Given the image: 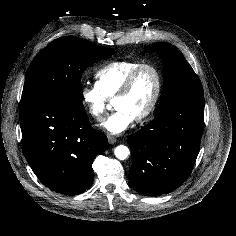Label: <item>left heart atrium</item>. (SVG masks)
I'll list each match as a JSON object with an SVG mask.
<instances>
[{"label":"left heart atrium","instance_id":"obj_1","mask_svg":"<svg viewBox=\"0 0 236 236\" xmlns=\"http://www.w3.org/2000/svg\"><path fill=\"white\" fill-rule=\"evenodd\" d=\"M134 117L124 109H116L103 123V127L111 134H120L127 130Z\"/></svg>","mask_w":236,"mask_h":236}]
</instances>
